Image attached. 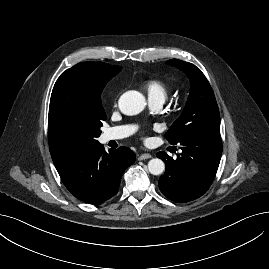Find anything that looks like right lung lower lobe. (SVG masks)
Masks as SVG:
<instances>
[{"label":"right lung lower lobe","instance_id":"98d812e1","mask_svg":"<svg viewBox=\"0 0 269 269\" xmlns=\"http://www.w3.org/2000/svg\"><path fill=\"white\" fill-rule=\"evenodd\" d=\"M135 158V153L127 147L107 153L99 143L54 164L63 184L75 197L98 204L118 192L122 174Z\"/></svg>","mask_w":269,"mask_h":269}]
</instances>
